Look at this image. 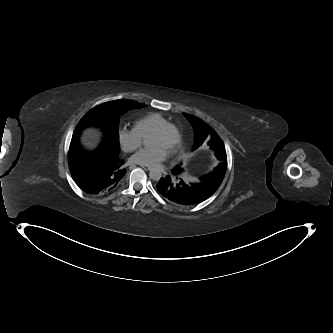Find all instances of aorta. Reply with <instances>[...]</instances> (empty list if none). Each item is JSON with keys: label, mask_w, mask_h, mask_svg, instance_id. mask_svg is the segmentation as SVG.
<instances>
[{"label": "aorta", "mask_w": 333, "mask_h": 333, "mask_svg": "<svg viewBox=\"0 0 333 333\" xmlns=\"http://www.w3.org/2000/svg\"><path fill=\"white\" fill-rule=\"evenodd\" d=\"M149 176L152 180L158 181V180H160L162 174L159 170L153 169V170L150 171Z\"/></svg>", "instance_id": "aorta-1"}]
</instances>
